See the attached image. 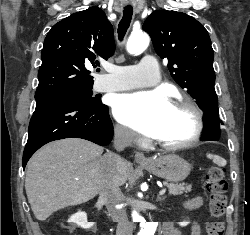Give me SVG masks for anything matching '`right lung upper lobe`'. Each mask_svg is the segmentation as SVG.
<instances>
[{
	"label": "right lung upper lobe",
	"instance_id": "right-lung-upper-lobe-1",
	"mask_svg": "<svg viewBox=\"0 0 250 235\" xmlns=\"http://www.w3.org/2000/svg\"><path fill=\"white\" fill-rule=\"evenodd\" d=\"M112 24L98 7H90L56 23L48 32L39 68L35 99L93 86L85 65L113 55Z\"/></svg>",
	"mask_w": 250,
	"mask_h": 235
}]
</instances>
